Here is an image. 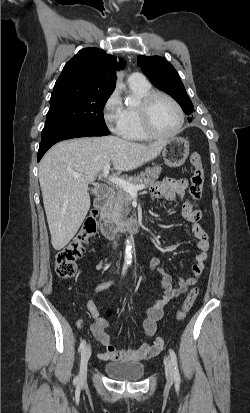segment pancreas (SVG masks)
<instances>
[{"label":"pancreas","instance_id":"pancreas-1","mask_svg":"<svg viewBox=\"0 0 250 413\" xmlns=\"http://www.w3.org/2000/svg\"><path fill=\"white\" fill-rule=\"evenodd\" d=\"M161 171V166L146 168L144 172H141L138 176L130 178L129 181L135 185L144 184L145 187H148L155 183ZM131 202L132 196L130 193L118 186L109 200L110 218L116 222L126 219V216L131 212Z\"/></svg>","mask_w":250,"mask_h":413}]
</instances>
